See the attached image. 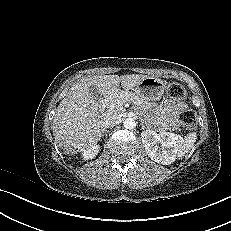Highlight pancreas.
I'll use <instances>...</instances> for the list:
<instances>
[{"label": "pancreas", "mask_w": 231, "mask_h": 231, "mask_svg": "<svg viewBox=\"0 0 231 231\" xmlns=\"http://www.w3.org/2000/svg\"><path fill=\"white\" fill-rule=\"evenodd\" d=\"M126 101L133 102L137 105L145 103V100L138 97L135 93L121 91L115 95L107 97L103 104L106 107L107 113H121L123 111L122 104Z\"/></svg>", "instance_id": "obj_1"}]
</instances>
